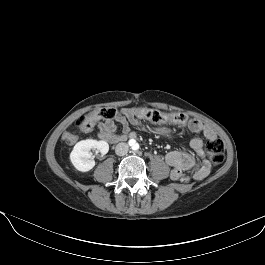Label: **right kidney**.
Wrapping results in <instances>:
<instances>
[{
  "mask_svg": "<svg viewBox=\"0 0 265 265\" xmlns=\"http://www.w3.org/2000/svg\"><path fill=\"white\" fill-rule=\"evenodd\" d=\"M91 149H97L102 155H105L109 151V145L105 141L92 139L78 142L70 154L71 162L77 170L87 172L95 166V161L91 159Z\"/></svg>",
  "mask_w": 265,
  "mask_h": 265,
  "instance_id": "obj_1",
  "label": "right kidney"
}]
</instances>
